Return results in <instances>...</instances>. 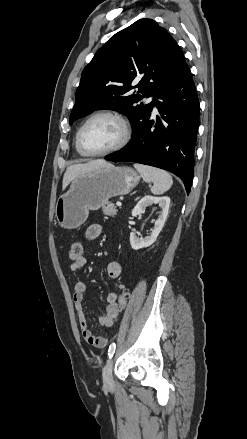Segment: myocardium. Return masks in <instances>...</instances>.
<instances>
[{
  "instance_id": "1",
  "label": "myocardium",
  "mask_w": 247,
  "mask_h": 439,
  "mask_svg": "<svg viewBox=\"0 0 247 439\" xmlns=\"http://www.w3.org/2000/svg\"><path fill=\"white\" fill-rule=\"evenodd\" d=\"M98 117H111V118L117 120L121 126V129H122V137H121L120 141L115 146H113L107 150H104L101 152H90V151H87L85 149L83 142H82V136H83V132H84L86 126L92 120H94ZM131 137H132V129H131L130 123H129L128 119L123 114H121L120 112H117V111H112V110H102V111H99V112L92 114L90 117H88L86 119V121L79 128V130L77 132L76 139H77L78 148L83 155L89 156V157H101V156H106V155H109L111 153H114V152L121 150L129 143V141L131 140Z\"/></svg>"
}]
</instances>
